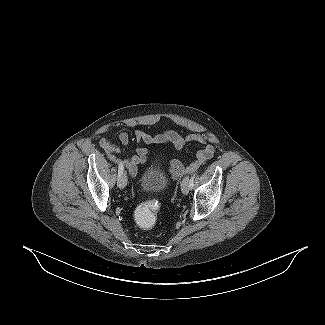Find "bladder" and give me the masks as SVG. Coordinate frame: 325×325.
Instances as JSON below:
<instances>
[{"instance_id":"31cf9c89","label":"bladder","mask_w":325,"mask_h":325,"mask_svg":"<svg viewBox=\"0 0 325 325\" xmlns=\"http://www.w3.org/2000/svg\"><path fill=\"white\" fill-rule=\"evenodd\" d=\"M168 184V174L159 161L147 166L140 177V186L148 193L162 192Z\"/></svg>"}]
</instances>
